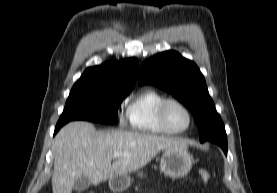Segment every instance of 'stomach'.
Returning <instances> with one entry per match:
<instances>
[{"instance_id": "0dacf381", "label": "stomach", "mask_w": 277, "mask_h": 193, "mask_svg": "<svg viewBox=\"0 0 277 193\" xmlns=\"http://www.w3.org/2000/svg\"><path fill=\"white\" fill-rule=\"evenodd\" d=\"M193 157L187 147H173L165 149L161 160V171L170 178L177 179L186 176L192 168ZM129 175H116L109 180L113 191L122 192L130 186Z\"/></svg>"}]
</instances>
